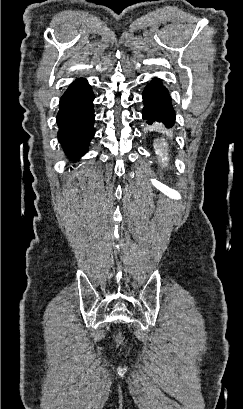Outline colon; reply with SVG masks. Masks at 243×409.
I'll return each mask as SVG.
<instances>
[{"mask_svg":"<svg viewBox=\"0 0 243 409\" xmlns=\"http://www.w3.org/2000/svg\"><path fill=\"white\" fill-rule=\"evenodd\" d=\"M118 340H119V342H121V343L123 342V340H122V337H121V336H119V337H118Z\"/></svg>","mask_w":243,"mask_h":409,"instance_id":"1","label":"colon"}]
</instances>
